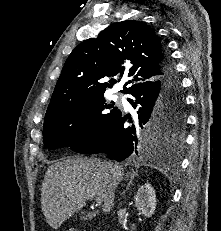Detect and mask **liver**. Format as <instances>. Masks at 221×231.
<instances>
[{"mask_svg":"<svg viewBox=\"0 0 221 231\" xmlns=\"http://www.w3.org/2000/svg\"><path fill=\"white\" fill-rule=\"evenodd\" d=\"M124 176L121 166L94 158L68 157L52 164L41 189V209L48 224L57 229L94 197L102 199V210L109 213Z\"/></svg>","mask_w":221,"mask_h":231,"instance_id":"1","label":"liver"}]
</instances>
